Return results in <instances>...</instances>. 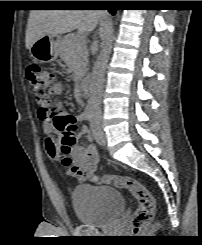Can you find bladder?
Listing matches in <instances>:
<instances>
[{
  "instance_id": "obj_1",
  "label": "bladder",
  "mask_w": 202,
  "mask_h": 245,
  "mask_svg": "<svg viewBox=\"0 0 202 245\" xmlns=\"http://www.w3.org/2000/svg\"><path fill=\"white\" fill-rule=\"evenodd\" d=\"M72 204L78 221L101 227L110 223L124 208V197L116 189L93 184L77 185Z\"/></svg>"
}]
</instances>
